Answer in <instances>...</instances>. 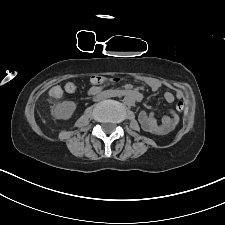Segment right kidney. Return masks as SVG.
I'll list each match as a JSON object with an SVG mask.
<instances>
[{
	"instance_id": "ca27d5eb",
	"label": "right kidney",
	"mask_w": 225,
	"mask_h": 225,
	"mask_svg": "<svg viewBox=\"0 0 225 225\" xmlns=\"http://www.w3.org/2000/svg\"><path fill=\"white\" fill-rule=\"evenodd\" d=\"M76 109V104L72 101H63L55 105L51 110L52 116L56 119L67 120L71 118Z\"/></svg>"
}]
</instances>
